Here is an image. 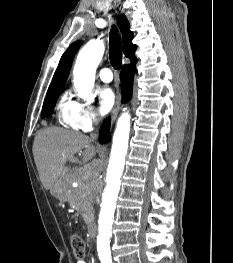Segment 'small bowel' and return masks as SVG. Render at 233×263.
Instances as JSON below:
<instances>
[{
    "mask_svg": "<svg viewBox=\"0 0 233 263\" xmlns=\"http://www.w3.org/2000/svg\"><path fill=\"white\" fill-rule=\"evenodd\" d=\"M76 263H87L85 260L81 259V260H77Z\"/></svg>",
    "mask_w": 233,
    "mask_h": 263,
    "instance_id": "obj_1",
    "label": "small bowel"
}]
</instances>
